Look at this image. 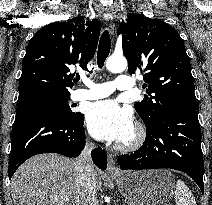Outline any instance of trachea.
I'll return each instance as SVG.
<instances>
[{
  "label": "trachea",
  "instance_id": "trachea-1",
  "mask_svg": "<svg viewBox=\"0 0 212 205\" xmlns=\"http://www.w3.org/2000/svg\"><path fill=\"white\" fill-rule=\"evenodd\" d=\"M111 48V39L109 32L105 30L100 38L99 46H98V53H97V64L99 68L104 66V62L109 55ZM80 78H76L75 81L78 82Z\"/></svg>",
  "mask_w": 212,
  "mask_h": 205
}]
</instances>
